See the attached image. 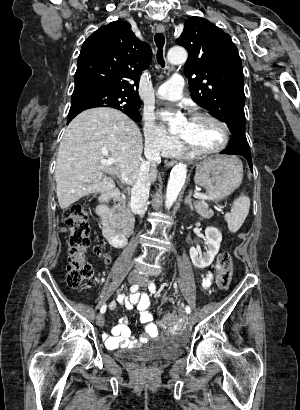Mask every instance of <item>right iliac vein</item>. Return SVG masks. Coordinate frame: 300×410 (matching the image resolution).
Masks as SVG:
<instances>
[{
    "instance_id": "1",
    "label": "right iliac vein",
    "mask_w": 300,
    "mask_h": 410,
    "mask_svg": "<svg viewBox=\"0 0 300 410\" xmlns=\"http://www.w3.org/2000/svg\"><path fill=\"white\" fill-rule=\"evenodd\" d=\"M128 282L131 284L137 283L139 281V277L137 274L135 273H130L128 275ZM96 324L100 327H102L104 325V317L102 314H98L96 317Z\"/></svg>"
}]
</instances>
